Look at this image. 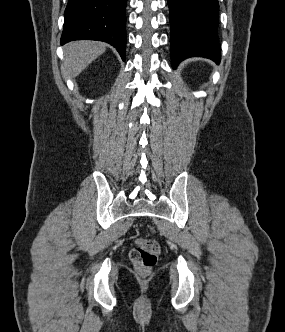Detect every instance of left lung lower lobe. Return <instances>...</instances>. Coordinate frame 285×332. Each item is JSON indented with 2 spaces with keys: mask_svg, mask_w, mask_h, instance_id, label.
<instances>
[{
  "mask_svg": "<svg viewBox=\"0 0 285 332\" xmlns=\"http://www.w3.org/2000/svg\"><path fill=\"white\" fill-rule=\"evenodd\" d=\"M173 69L192 56L220 62L218 0H168Z\"/></svg>",
  "mask_w": 285,
  "mask_h": 332,
  "instance_id": "obj_1",
  "label": "left lung lower lobe"
}]
</instances>
